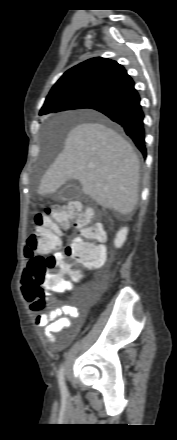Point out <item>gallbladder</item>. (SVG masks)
Listing matches in <instances>:
<instances>
[{
    "label": "gallbladder",
    "instance_id": "gallbladder-1",
    "mask_svg": "<svg viewBox=\"0 0 177 440\" xmlns=\"http://www.w3.org/2000/svg\"><path fill=\"white\" fill-rule=\"evenodd\" d=\"M82 190L74 183L67 184L57 195H53L55 201H70L79 198Z\"/></svg>",
    "mask_w": 177,
    "mask_h": 440
}]
</instances>
